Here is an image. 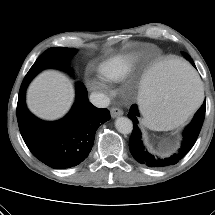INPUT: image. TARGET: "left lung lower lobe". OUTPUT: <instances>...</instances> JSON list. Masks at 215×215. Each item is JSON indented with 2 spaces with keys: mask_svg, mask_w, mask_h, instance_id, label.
<instances>
[{
  "mask_svg": "<svg viewBox=\"0 0 215 215\" xmlns=\"http://www.w3.org/2000/svg\"><path fill=\"white\" fill-rule=\"evenodd\" d=\"M205 108L204 101L191 123L184 129L183 141L178 152L168 157H159L150 153L143 145L137 120L139 112L136 104L132 105L128 114L129 118L133 121V132L130 136L129 148L134 159L141 164L153 168H162L178 163L190 151L198 138L204 121Z\"/></svg>",
  "mask_w": 215,
  "mask_h": 215,
  "instance_id": "0a47b994",
  "label": "left lung lower lobe"
}]
</instances>
